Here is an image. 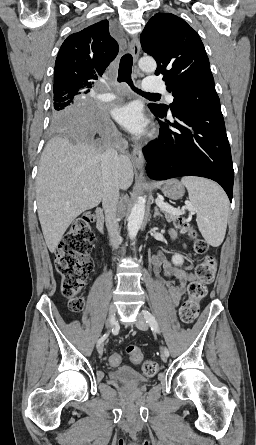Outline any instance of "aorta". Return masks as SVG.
<instances>
[{"mask_svg":"<svg viewBox=\"0 0 256 445\" xmlns=\"http://www.w3.org/2000/svg\"><path fill=\"white\" fill-rule=\"evenodd\" d=\"M139 68L147 73H153L156 70V62L153 58L143 57L138 62ZM146 200L144 197H139L138 201L133 206L131 213L128 217V235L130 239H135L137 233L142 225L145 214Z\"/></svg>","mask_w":256,"mask_h":445,"instance_id":"762f6f07","label":"aorta"}]
</instances>
